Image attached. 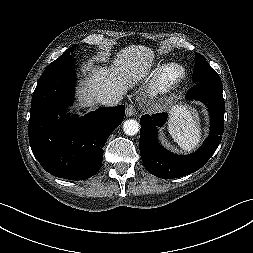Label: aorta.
Segmentation results:
<instances>
[{
    "instance_id": "aorta-1",
    "label": "aorta",
    "mask_w": 253,
    "mask_h": 253,
    "mask_svg": "<svg viewBox=\"0 0 253 253\" xmlns=\"http://www.w3.org/2000/svg\"><path fill=\"white\" fill-rule=\"evenodd\" d=\"M139 123L134 119L126 120L123 124V131L129 136H133L139 131Z\"/></svg>"
}]
</instances>
